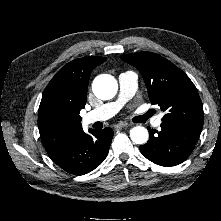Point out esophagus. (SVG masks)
<instances>
[{
    "mask_svg": "<svg viewBox=\"0 0 221 221\" xmlns=\"http://www.w3.org/2000/svg\"><path fill=\"white\" fill-rule=\"evenodd\" d=\"M129 126H130V124H128L127 122H120L115 126V128L121 129V128H128Z\"/></svg>",
    "mask_w": 221,
    "mask_h": 221,
    "instance_id": "1",
    "label": "esophagus"
}]
</instances>
